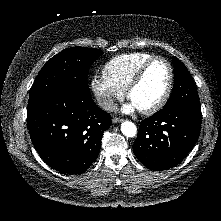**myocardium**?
Instances as JSON below:
<instances>
[{
	"instance_id": "f54148a6",
	"label": "myocardium",
	"mask_w": 221,
	"mask_h": 221,
	"mask_svg": "<svg viewBox=\"0 0 221 221\" xmlns=\"http://www.w3.org/2000/svg\"><path fill=\"white\" fill-rule=\"evenodd\" d=\"M155 61H162L167 66L168 81H167V85H166V88H165L162 96L155 104H153L152 106L147 107V108L138 109L142 114H145V115H150V114H153V113L159 111L167 102V100L171 94L173 82H174V71H173V67H172L171 63L166 58H164L162 56H153L152 58H150L149 60H147L145 63H143L141 65V67L137 70V72L135 73V75L133 76V78L131 79V81L129 82V84L126 88V96L130 100L132 91L139 85V83L141 82L142 78L144 77L147 69Z\"/></svg>"
}]
</instances>
